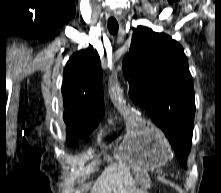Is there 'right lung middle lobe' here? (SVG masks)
Masks as SVG:
<instances>
[{"mask_svg": "<svg viewBox=\"0 0 221 193\" xmlns=\"http://www.w3.org/2000/svg\"><path fill=\"white\" fill-rule=\"evenodd\" d=\"M103 117H98L94 119L85 120L82 122L74 123L72 125H67L70 133L77 138L87 137L99 124ZM68 141L71 146H76L77 142L73 138L68 137Z\"/></svg>", "mask_w": 221, "mask_h": 193, "instance_id": "dd1d6c3e", "label": "right lung middle lobe"}]
</instances>
